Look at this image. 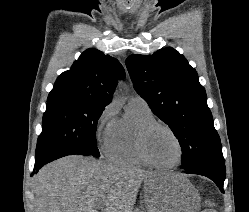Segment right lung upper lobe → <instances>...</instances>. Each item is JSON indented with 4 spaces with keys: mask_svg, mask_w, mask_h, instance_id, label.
Returning <instances> with one entry per match:
<instances>
[{
    "mask_svg": "<svg viewBox=\"0 0 249 212\" xmlns=\"http://www.w3.org/2000/svg\"><path fill=\"white\" fill-rule=\"evenodd\" d=\"M125 76L117 59L97 49H87L71 69L56 80L48 99L75 98L107 106L119 79Z\"/></svg>",
    "mask_w": 249,
    "mask_h": 212,
    "instance_id": "1",
    "label": "right lung upper lobe"
}]
</instances>
